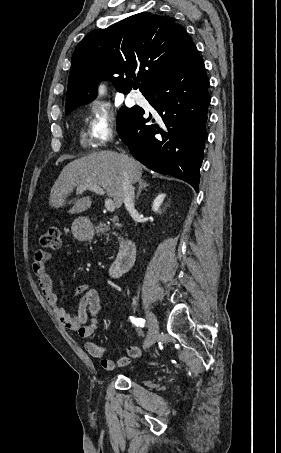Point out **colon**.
Wrapping results in <instances>:
<instances>
[{
  "mask_svg": "<svg viewBox=\"0 0 281 453\" xmlns=\"http://www.w3.org/2000/svg\"><path fill=\"white\" fill-rule=\"evenodd\" d=\"M59 232V226H49L40 240V245H44L46 251H50L52 254L58 249Z\"/></svg>",
  "mask_w": 281,
  "mask_h": 453,
  "instance_id": "1",
  "label": "colon"
}]
</instances>
